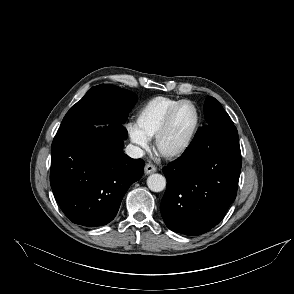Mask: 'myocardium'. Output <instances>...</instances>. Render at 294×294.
<instances>
[{"label": "myocardium", "instance_id": "myocardium-1", "mask_svg": "<svg viewBox=\"0 0 294 294\" xmlns=\"http://www.w3.org/2000/svg\"><path fill=\"white\" fill-rule=\"evenodd\" d=\"M184 104H191L194 107V109L196 111L195 125H194L188 139L185 141V143L182 146H180L179 148L172 150V151H163L161 149V142H162L163 138L165 137L166 133L168 132L177 111ZM200 125H201V112H200L198 105L192 100H188V99L181 100L180 102H178L175 106H173L171 108V110L168 112V114L164 118L161 126L159 127L158 131L156 132V134L154 136V150H155L156 154L159 157L167 159V160H173V159H177V158L183 156L192 146V144L197 136V133L200 129Z\"/></svg>", "mask_w": 294, "mask_h": 294}]
</instances>
